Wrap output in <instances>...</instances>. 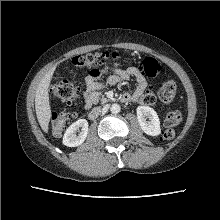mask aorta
I'll use <instances>...</instances> for the list:
<instances>
[{
    "label": "aorta",
    "instance_id": "obj_1",
    "mask_svg": "<svg viewBox=\"0 0 220 220\" xmlns=\"http://www.w3.org/2000/svg\"><path fill=\"white\" fill-rule=\"evenodd\" d=\"M121 110V107L119 104H112L111 108H110V111L114 114H117L119 113Z\"/></svg>",
    "mask_w": 220,
    "mask_h": 220
}]
</instances>
